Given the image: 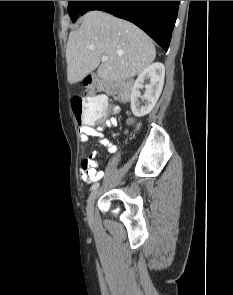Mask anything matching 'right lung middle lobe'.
<instances>
[{
    "instance_id": "obj_1",
    "label": "right lung middle lobe",
    "mask_w": 233,
    "mask_h": 295,
    "mask_svg": "<svg viewBox=\"0 0 233 295\" xmlns=\"http://www.w3.org/2000/svg\"><path fill=\"white\" fill-rule=\"evenodd\" d=\"M85 2L86 1H69L68 13L72 22H75L77 17L80 15Z\"/></svg>"
}]
</instances>
